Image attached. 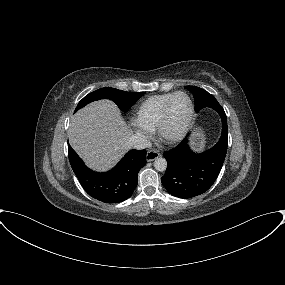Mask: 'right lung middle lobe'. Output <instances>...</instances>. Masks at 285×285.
<instances>
[{"instance_id":"dd1d6c3e","label":"right lung middle lobe","mask_w":285,"mask_h":285,"mask_svg":"<svg viewBox=\"0 0 285 285\" xmlns=\"http://www.w3.org/2000/svg\"><path fill=\"white\" fill-rule=\"evenodd\" d=\"M144 94L145 92L131 93L115 88H101L85 96L78 103L75 111L79 110L92 101L99 99H110L118 105L119 109H121L123 112H127Z\"/></svg>"}]
</instances>
